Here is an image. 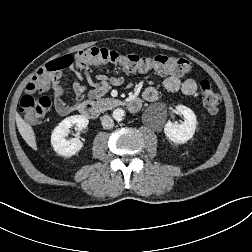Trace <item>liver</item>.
I'll use <instances>...</instances> for the list:
<instances>
[{
    "label": "liver",
    "mask_w": 252,
    "mask_h": 252,
    "mask_svg": "<svg viewBox=\"0 0 252 252\" xmlns=\"http://www.w3.org/2000/svg\"><path fill=\"white\" fill-rule=\"evenodd\" d=\"M16 124L18 131L25 142L34 150H37L36 136L33 128L25 122L20 115L16 116Z\"/></svg>",
    "instance_id": "1"
}]
</instances>
